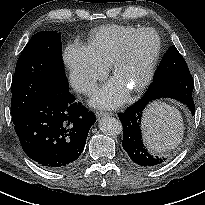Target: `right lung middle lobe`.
Segmentation results:
<instances>
[{"label":"right lung middle lobe","mask_w":205,"mask_h":205,"mask_svg":"<svg viewBox=\"0 0 205 205\" xmlns=\"http://www.w3.org/2000/svg\"><path fill=\"white\" fill-rule=\"evenodd\" d=\"M11 87L14 124L43 98L69 91L61 33L42 31L32 36L18 58Z\"/></svg>","instance_id":"right-lung-middle-lobe-1"}]
</instances>
